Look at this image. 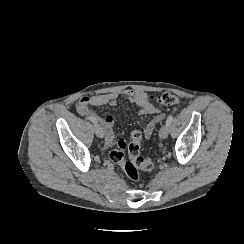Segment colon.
Instances as JSON below:
<instances>
[{
    "label": "colon",
    "mask_w": 244,
    "mask_h": 244,
    "mask_svg": "<svg viewBox=\"0 0 244 244\" xmlns=\"http://www.w3.org/2000/svg\"><path fill=\"white\" fill-rule=\"evenodd\" d=\"M149 100L166 106H176L182 102L179 96L169 92L150 94ZM142 140V131L134 129L128 142L118 139L109 152L110 162L119 165L126 177L132 182L139 180L141 171H148L153 167L152 159L141 153ZM126 149L128 153L127 161L124 159V151Z\"/></svg>",
    "instance_id": "colon-1"
}]
</instances>
